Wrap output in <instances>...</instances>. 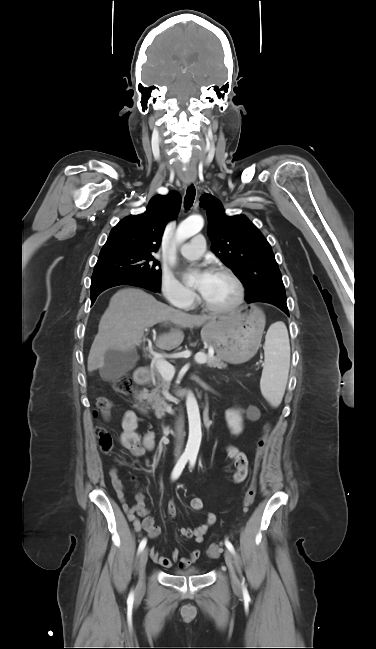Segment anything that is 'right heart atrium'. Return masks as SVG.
Instances as JSON below:
<instances>
[{
    "label": "right heart atrium",
    "mask_w": 376,
    "mask_h": 649,
    "mask_svg": "<svg viewBox=\"0 0 376 649\" xmlns=\"http://www.w3.org/2000/svg\"><path fill=\"white\" fill-rule=\"evenodd\" d=\"M160 291L169 304L178 308H190L195 301V293L169 271L161 274Z\"/></svg>",
    "instance_id": "1"
}]
</instances>
